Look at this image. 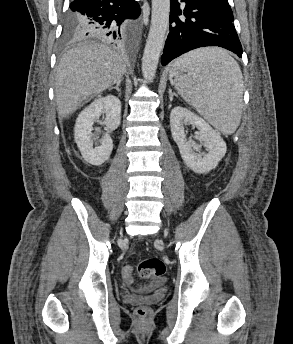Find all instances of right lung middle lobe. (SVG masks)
I'll return each instance as SVG.
<instances>
[{"label":"right lung middle lobe","instance_id":"obj_1","mask_svg":"<svg viewBox=\"0 0 293 344\" xmlns=\"http://www.w3.org/2000/svg\"><path fill=\"white\" fill-rule=\"evenodd\" d=\"M85 21V17L78 13L69 12L62 39L64 42L74 41L81 37V26Z\"/></svg>","mask_w":293,"mask_h":344}]
</instances>
